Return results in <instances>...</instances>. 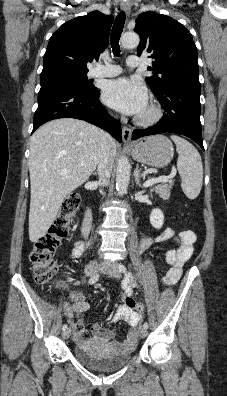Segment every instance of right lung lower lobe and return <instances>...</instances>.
I'll list each match as a JSON object with an SVG mask.
<instances>
[{
	"label": "right lung lower lobe",
	"mask_w": 227,
	"mask_h": 396,
	"mask_svg": "<svg viewBox=\"0 0 227 396\" xmlns=\"http://www.w3.org/2000/svg\"><path fill=\"white\" fill-rule=\"evenodd\" d=\"M99 94L97 89L86 92L67 85L41 88L32 132L53 119L76 118L106 130L121 142L122 133L119 122L112 118L101 105Z\"/></svg>",
	"instance_id": "98d812e1"
}]
</instances>
